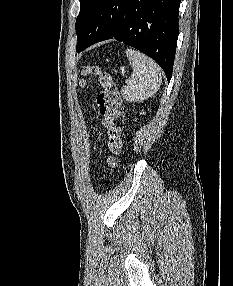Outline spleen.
Here are the masks:
<instances>
[{
    "label": "spleen",
    "instance_id": "obj_1",
    "mask_svg": "<svg viewBox=\"0 0 233 286\" xmlns=\"http://www.w3.org/2000/svg\"><path fill=\"white\" fill-rule=\"evenodd\" d=\"M133 72L131 81L121 88L122 97L128 102H142L156 94L162 83L161 69L143 53L126 49Z\"/></svg>",
    "mask_w": 233,
    "mask_h": 286
}]
</instances>
